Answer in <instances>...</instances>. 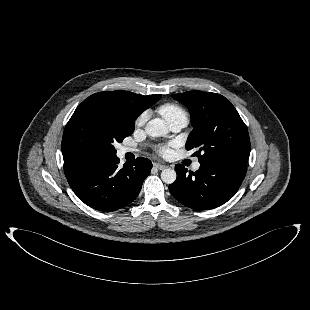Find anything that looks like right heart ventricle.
Masks as SVG:
<instances>
[{"mask_svg": "<svg viewBox=\"0 0 310 310\" xmlns=\"http://www.w3.org/2000/svg\"><path fill=\"white\" fill-rule=\"evenodd\" d=\"M157 111L168 124L176 119H188L186 111L176 103L162 104L158 107Z\"/></svg>", "mask_w": 310, "mask_h": 310, "instance_id": "obj_1", "label": "right heart ventricle"}]
</instances>
